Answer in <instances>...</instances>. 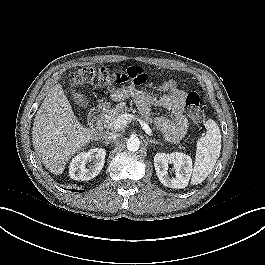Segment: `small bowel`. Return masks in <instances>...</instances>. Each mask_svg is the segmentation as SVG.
<instances>
[{"label": "small bowel", "instance_id": "obj_1", "mask_svg": "<svg viewBox=\"0 0 265 265\" xmlns=\"http://www.w3.org/2000/svg\"><path fill=\"white\" fill-rule=\"evenodd\" d=\"M135 69H138L144 78L146 77L142 69ZM154 89L161 94L142 90L137 84L128 82L113 92L112 98L115 101H122L129 97L134 98L143 115H148L153 106L169 111L172 118L160 116L154 120V124L167 140L176 142L184 136L188 125L183 114L184 92L177 87L173 80L166 81Z\"/></svg>", "mask_w": 265, "mask_h": 265}]
</instances>
